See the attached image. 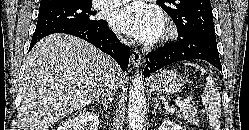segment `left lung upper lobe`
<instances>
[{
    "instance_id": "left-lung-upper-lobe-1",
    "label": "left lung upper lobe",
    "mask_w": 249,
    "mask_h": 130,
    "mask_svg": "<svg viewBox=\"0 0 249 130\" xmlns=\"http://www.w3.org/2000/svg\"><path fill=\"white\" fill-rule=\"evenodd\" d=\"M157 4L174 21L178 37L202 34L215 38L210 0H159Z\"/></svg>"
}]
</instances>
